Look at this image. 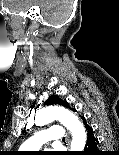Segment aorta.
<instances>
[{"label":"aorta","instance_id":"762f6f07","mask_svg":"<svg viewBox=\"0 0 119 155\" xmlns=\"http://www.w3.org/2000/svg\"><path fill=\"white\" fill-rule=\"evenodd\" d=\"M55 120L60 121L71 132V151H83L86 144L85 128L78 117L69 110L59 106L45 107L36 114L35 124L44 126Z\"/></svg>","mask_w":119,"mask_h":155}]
</instances>
